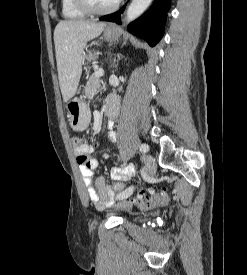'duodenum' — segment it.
I'll list each match as a JSON object with an SVG mask.
<instances>
[{
  "instance_id": "410a0bca",
  "label": "duodenum",
  "mask_w": 247,
  "mask_h": 275,
  "mask_svg": "<svg viewBox=\"0 0 247 275\" xmlns=\"http://www.w3.org/2000/svg\"><path fill=\"white\" fill-rule=\"evenodd\" d=\"M118 110V106L116 104H108L107 107V115L108 117L112 118L116 115Z\"/></svg>"
}]
</instances>
